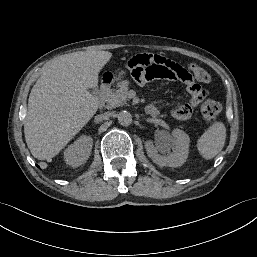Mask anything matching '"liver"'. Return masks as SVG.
<instances>
[{
  "label": "liver",
  "mask_w": 257,
  "mask_h": 257,
  "mask_svg": "<svg viewBox=\"0 0 257 257\" xmlns=\"http://www.w3.org/2000/svg\"><path fill=\"white\" fill-rule=\"evenodd\" d=\"M108 51H79L54 60L42 72L28 99L24 134L38 160H51L94 116L99 100L88 89L98 86Z\"/></svg>",
  "instance_id": "liver-1"
}]
</instances>
